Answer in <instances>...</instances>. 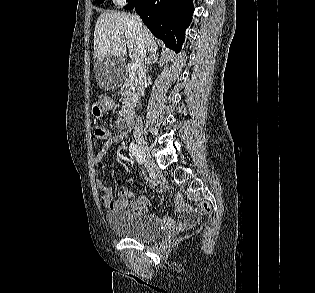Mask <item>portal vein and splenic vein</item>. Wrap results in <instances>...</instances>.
<instances>
[{
  "mask_svg": "<svg viewBox=\"0 0 315 293\" xmlns=\"http://www.w3.org/2000/svg\"><path fill=\"white\" fill-rule=\"evenodd\" d=\"M130 69H131L132 72L137 71V69H138V63L135 62V61H133V62L130 64Z\"/></svg>",
  "mask_w": 315,
  "mask_h": 293,
  "instance_id": "obj_1",
  "label": "portal vein and splenic vein"
}]
</instances>
